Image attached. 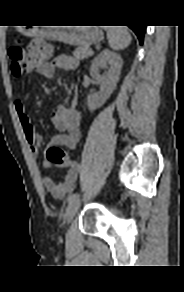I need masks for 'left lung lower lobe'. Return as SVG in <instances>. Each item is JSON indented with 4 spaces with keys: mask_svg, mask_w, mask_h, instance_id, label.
Returning a JSON list of instances; mask_svg holds the SVG:
<instances>
[{
    "mask_svg": "<svg viewBox=\"0 0 184 292\" xmlns=\"http://www.w3.org/2000/svg\"><path fill=\"white\" fill-rule=\"evenodd\" d=\"M129 27L135 32V34L139 38L140 44H142L146 26H143V25H131Z\"/></svg>",
    "mask_w": 184,
    "mask_h": 292,
    "instance_id": "obj_1",
    "label": "left lung lower lobe"
}]
</instances>
